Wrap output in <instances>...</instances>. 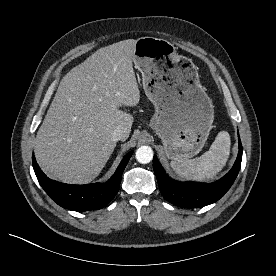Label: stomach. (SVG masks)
Returning a JSON list of instances; mask_svg holds the SVG:
<instances>
[{
    "label": "stomach",
    "instance_id": "obj_1",
    "mask_svg": "<svg viewBox=\"0 0 276 276\" xmlns=\"http://www.w3.org/2000/svg\"><path fill=\"white\" fill-rule=\"evenodd\" d=\"M132 60L155 106L150 126L161 138L166 156L186 160L197 155L214 120V107L200 83L197 66L179 55L169 41L154 37L136 40Z\"/></svg>",
    "mask_w": 276,
    "mask_h": 276
}]
</instances>
